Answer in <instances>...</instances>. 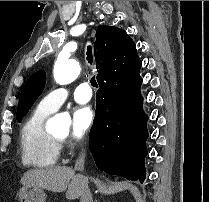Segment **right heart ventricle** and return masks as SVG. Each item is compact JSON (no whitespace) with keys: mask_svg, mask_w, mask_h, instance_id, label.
Listing matches in <instances>:
<instances>
[{"mask_svg":"<svg viewBox=\"0 0 209 202\" xmlns=\"http://www.w3.org/2000/svg\"><path fill=\"white\" fill-rule=\"evenodd\" d=\"M51 113L38 106L21 127V161L26 166L48 168L57 163L59 144L44 127L45 120Z\"/></svg>","mask_w":209,"mask_h":202,"instance_id":"obj_1","label":"right heart ventricle"}]
</instances>
